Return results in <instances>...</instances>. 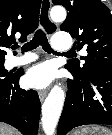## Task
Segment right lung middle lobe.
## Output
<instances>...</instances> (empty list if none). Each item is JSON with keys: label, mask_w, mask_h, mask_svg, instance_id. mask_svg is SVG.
Instances as JSON below:
<instances>
[{"label": "right lung middle lobe", "mask_w": 112, "mask_h": 135, "mask_svg": "<svg viewBox=\"0 0 112 135\" xmlns=\"http://www.w3.org/2000/svg\"><path fill=\"white\" fill-rule=\"evenodd\" d=\"M11 76V73L7 72L4 68V61H0V85L4 84V82Z\"/></svg>", "instance_id": "obj_1"}]
</instances>
